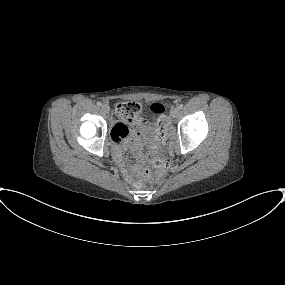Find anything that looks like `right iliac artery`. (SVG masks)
I'll list each match as a JSON object with an SVG mask.
<instances>
[{"instance_id": "82829eb1", "label": "right iliac artery", "mask_w": 285, "mask_h": 285, "mask_svg": "<svg viewBox=\"0 0 285 285\" xmlns=\"http://www.w3.org/2000/svg\"><path fill=\"white\" fill-rule=\"evenodd\" d=\"M97 105H98V106H101V102H100V101H98V102H97Z\"/></svg>"}]
</instances>
